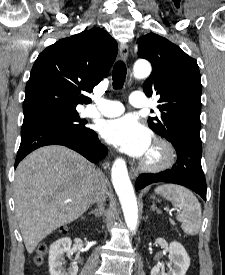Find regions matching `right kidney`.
<instances>
[{
    "mask_svg": "<svg viewBox=\"0 0 225 275\" xmlns=\"http://www.w3.org/2000/svg\"><path fill=\"white\" fill-rule=\"evenodd\" d=\"M72 241L65 237L54 242L49 250V271L50 275H77L78 266L76 262L71 263L70 267L65 270L62 265L64 256H70Z\"/></svg>",
    "mask_w": 225,
    "mask_h": 275,
    "instance_id": "obj_1",
    "label": "right kidney"
}]
</instances>
